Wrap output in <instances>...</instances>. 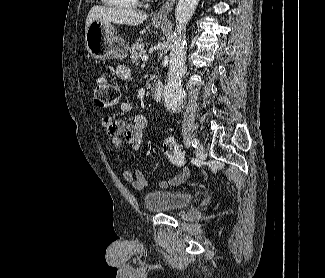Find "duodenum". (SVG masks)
I'll return each mask as SVG.
<instances>
[{
  "mask_svg": "<svg viewBox=\"0 0 325 278\" xmlns=\"http://www.w3.org/2000/svg\"><path fill=\"white\" fill-rule=\"evenodd\" d=\"M153 93L155 100L161 102L163 98V84L159 79H156L154 82Z\"/></svg>",
  "mask_w": 325,
  "mask_h": 278,
  "instance_id": "1",
  "label": "duodenum"
}]
</instances>
